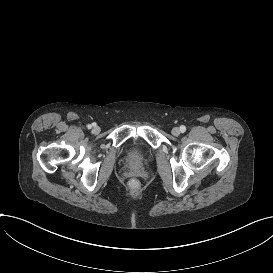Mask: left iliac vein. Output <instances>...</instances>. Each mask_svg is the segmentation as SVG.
<instances>
[{
  "label": "left iliac vein",
  "instance_id": "1",
  "mask_svg": "<svg viewBox=\"0 0 273 273\" xmlns=\"http://www.w3.org/2000/svg\"><path fill=\"white\" fill-rule=\"evenodd\" d=\"M180 133H181V131H180V129H179L178 127H174V128L172 129V134H173L174 136H179Z\"/></svg>",
  "mask_w": 273,
  "mask_h": 273
}]
</instances>
